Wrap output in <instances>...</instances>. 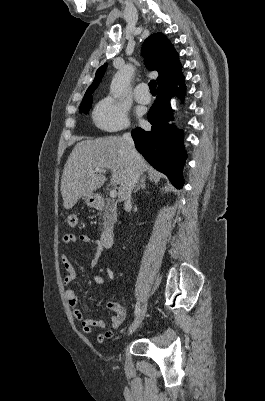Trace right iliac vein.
<instances>
[{"label": "right iliac vein", "instance_id": "1", "mask_svg": "<svg viewBox=\"0 0 265 401\" xmlns=\"http://www.w3.org/2000/svg\"><path fill=\"white\" fill-rule=\"evenodd\" d=\"M147 308H148V304H147V302H145L144 305L142 306L141 310L139 311L135 321L130 326V328L128 330V335L133 334L138 329V327L141 325V323L145 317V314L147 312Z\"/></svg>", "mask_w": 265, "mask_h": 401}]
</instances>
